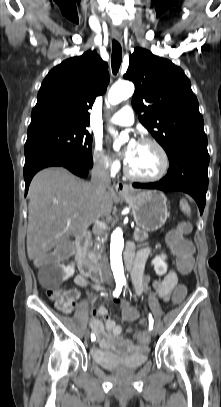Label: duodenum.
Returning <instances> with one entry per match:
<instances>
[{"instance_id": "duodenum-1", "label": "duodenum", "mask_w": 221, "mask_h": 407, "mask_svg": "<svg viewBox=\"0 0 221 407\" xmlns=\"http://www.w3.org/2000/svg\"><path fill=\"white\" fill-rule=\"evenodd\" d=\"M88 234L80 233L76 238V260L79 271L82 275L90 277L95 282L103 280V274L99 267L90 259L87 254ZM126 265L130 269L133 261V250L127 249L125 254Z\"/></svg>"}]
</instances>
